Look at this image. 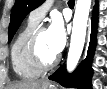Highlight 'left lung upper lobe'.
I'll return each mask as SVG.
<instances>
[{
  "label": "left lung upper lobe",
  "instance_id": "left-lung-upper-lobe-1",
  "mask_svg": "<svg viewBox=\"0 0 107 89\" xmlns=\"http://www.w3.org/2000/svg\"><path fill=\"white\" fill-rule=\"evenodd\" d=\"M43 2L44 0H16L11 12L8 42L12 40L14 34L27 14L37 8Z\"/></svg>",
  "mask_w": 107,
  "mask_h": 89
}]
</instances>
